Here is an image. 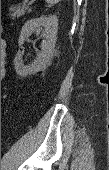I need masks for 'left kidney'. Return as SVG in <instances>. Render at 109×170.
Masks as SVG:
<instances>
[{
    "label": "left kidney",
    "mask_w": 109,
    "mask_h": 170,
    "mask_svg": "<svg viewBox=\"0 0 109 170\" xmlns=\"http://www.w3.org/2000/svg\"><path fill=\"white\" fill-rule=\"evenodd\" d=\"M57 29L58 19L55 15L34 18L24 24L19 36V46H21L34 32L39 34L42 31L44 40L42 42V50L38 53L34 62L29 65L23 64V54L20 51L17 52L14 59V65L15 70L19 75L36 73L46 66L54 53Z\"/></svg>",
    "instance_id": "left-kidney-1"
}]
</instances>
